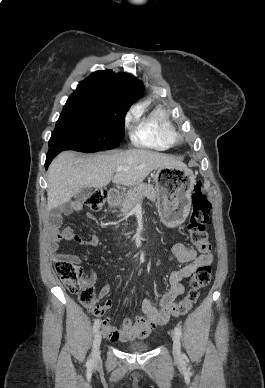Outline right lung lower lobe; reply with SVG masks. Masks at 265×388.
I'll list each match as a JSON object with an SVG mask.
<instances>
[{
  "mask_svg": "<svg viewBox=\"0 0 265 388\" xmlns=\"http://www.w3.org/2000/svg\"><path fill=\"white\" fill-rule=\"evenodd\" d=\"M60 152H52V153H47V157H46V162H45V169L47 170L48 169V166L50 164V162L52 161V159Z\"/></svg>",
  "mask_w": 265,
  "mask_h": 388,
  "instance_id": "98d812e1",
  "label": "right lung lower lobe"
}]
</instances>
